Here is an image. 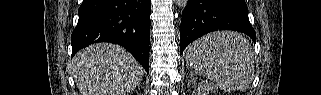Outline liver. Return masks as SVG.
<instances>
[{
  "instance_id": "obj_1",
  "label": "liver",
  "mask_w": 321,
  "mask_h": 95,
  "mask_svg": "<svg viewBox=\"0 0 321 95\" xmlns=\"http://www.w3.org/2000/svg\"><path fill=\"white\" fill-rule=\"evenodd\" d=\"M73 68L82 95H128L143 76V68L129 52L107 43L79 51Z\"/></svg>"
}]
</instances>
